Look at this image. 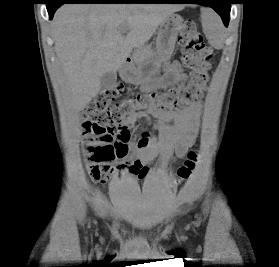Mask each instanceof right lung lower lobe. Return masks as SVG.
Instances as JSON below:
<instances>
[{
  "label": "right lung lower lobe",
  "instance_id": "right-lung-lower-lobe-1",
  "mask_svg": "<svg viewBox=\"0 0 279 267\" xmlns=\"http://www.w3.org/2000/svg\"><path fill=\"white\" fill-rule=\"evenodd\" d=\"M158 0H48L47 10L50 19L53 18L55 11L65 3H156Z\"/></svg>",
  "mask_w": 279,
  "mask_h": 267
}]
</instances>
